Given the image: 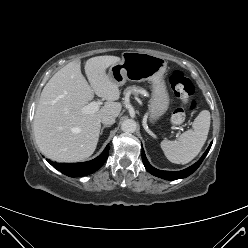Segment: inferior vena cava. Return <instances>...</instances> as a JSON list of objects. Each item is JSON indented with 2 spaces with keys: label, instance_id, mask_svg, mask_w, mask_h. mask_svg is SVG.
I'll use <instances>...</instances> for the list:
<instances>
[{
  "label": "inferior vena cava",
  "instance_id": "inferior-vena-cava-1",
  "mask_svg": "<svg viewBox=\"0 0 248 248\" xmlns=\"http://www.w3.org/2000/svg\"><path fill=\"white\" fill-rule=\"evenodd\" d=\"M101 122L106 125H112L115 123V117L111 115H105L101 118Z\"/></svg>",
  "mask_w": 248,
  "mask_h": 248
}]
</instances>
